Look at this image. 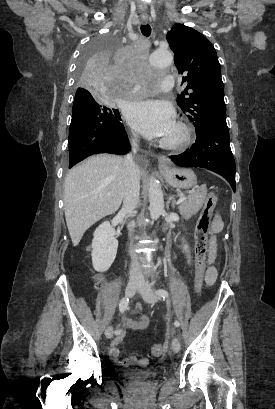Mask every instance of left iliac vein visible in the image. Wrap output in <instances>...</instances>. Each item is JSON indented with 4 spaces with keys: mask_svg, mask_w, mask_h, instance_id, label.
<instances>
[{
    "mask_svg": "<svg viewBox=\"0 0 275 409\" xmlns=\"http://www.w3.org/2000/svg\"><path fill=\"white\" fill-rule=\"evenodd\" d=\"M138 292L141 294L142 298L147 303H155L158 301V296L155 294L154 290L149 287L148 283L142 282L138 288ZM172 350L174 352L180 351V343L177 336H174L171 343Z\"/></svg>",
    "mask_w": 275,
    "mask_h": 409,
    "instance_id": "1",
    "label": "left iliac vein"
}]
</instances>
